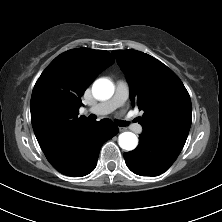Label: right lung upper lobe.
I'll use <instances>...</instances> for the list:
<instances>
[{"label":"right lung upper lobe","mask_w":222,"mask_h":222,"mask_svg":"<svg viewBox=\"0 0 222 222\" xmlns=\"http://www.w3.org/2000/svg\"><path fill=\"white\" fill-rule=\"evenodd\" d=\"M114 58L108 51L77 48L57 56L37 80L31 97V121L47 159L59 161L89 123L78 117L81 96Z\"/></svg>","instance_id":"obj_1"}]
</instances>
